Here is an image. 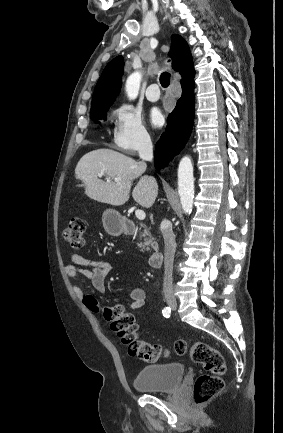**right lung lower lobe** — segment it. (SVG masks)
<instances>
[{"mask_svg":"<svg viewBox=\"0 0 283 433\" xmlns=\"http://www.w3.org/2000/svg\"><path fill=\"white\" fill-rule=\"evenodd\" d=\"M193 78L181 81L182 96L168 117L165 133L156 144L155 167L158 170L183 149L191 134L195 113Z\"/></svg>","mask_w":283,"mask_h":433,"instance_id":"obj_1","label":"right lung lower lobe"}]
</instances>
